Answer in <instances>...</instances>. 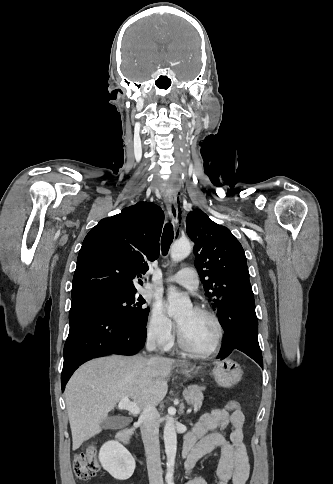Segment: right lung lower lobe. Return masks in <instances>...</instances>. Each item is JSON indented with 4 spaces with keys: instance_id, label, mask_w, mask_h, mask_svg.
Here are the masks:
<instances>
[{
    "instance_id": "1",
    "label": "right lung lower lobe",
    "mask_w": 333,
    "mask_h": 484,
    "mask_svg": "<svg viewBox=\"0 0 333 484\" xmlns=\"http://www.w3.org/2000/svg\"><path fill=\"white\" fill-rule=\"evenodd\" d=\"M70 330L64 346L62 391L73 372L89 359L110 355H133L146 340V328H138L115 313L107 302L92 293L72 297Z\"/></svg>"
}]
</instances>
